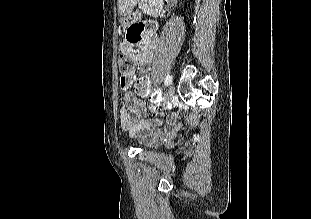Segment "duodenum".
Here are the masks:
<instances>
[{
	"label": "duodenum",
	"instance_id": "obj_1",
	"mask_svg": "<svg viewBox=\"0 0 311 219\" xmlns=\"http://www.w3.org/2000/svg\"><path fill=\"white\" fill-rule=\"evenodd\" d=\"M149 29L151 30V29H152V26H150Z\"/></svg>",
	"mask_w": 311,
	"mask_h": 219
}]
</instances>
